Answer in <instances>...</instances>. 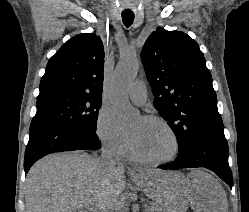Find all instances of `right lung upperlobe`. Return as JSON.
<instances>
[{
	"mask_svg": "<svg viewBox=\"0 0 249 212\" xmlns=\"http://www.w3.org/2000/svg\"><path fill=\"white\" fill-rule=\"evenodd\" d=\"M104 48L100 37L83 33L53 55L40 82V95L64 92L102 97Z\"/></svg>",
	"mask_w": 249,
	"mask_h": 212,
	"instance_id": "1",
	"label": "right lung upper lobe"
}]
</instances>
